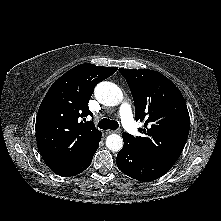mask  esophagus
Instances as JSON below:
<instances>
[{
    "instance_id": "esophagus-1",
    "label": "esophagus",
    "mask_w": 221,
    "mask_h": 221,
    "mask_svg": "<svg viewBox=\"0 0 221 221\" xmlns=\"http://www.w3.org/2000/svg\"><path fill=\"white\" fill-rule=\"evenodd\" d=\"M112 133H120V130H106V134H112Z\"/></svg>"
}]
</instances>
